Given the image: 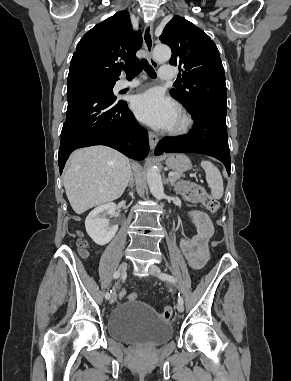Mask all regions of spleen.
<instances>
[{"label":"spleen","instance_id":"3e777b00","mask_svg":"<svg viewBox=\"0 0 291 381\" xmlns=\"http://www.w3.org/2000/svg\"><path fill=\"white\" fill-rule=\"evenodd\" d=\"M201 166L206 173V181L214 198L220 199L224 193L223 179L219 169L210 161H201Z\"/></svg>","mask_w":291,"mask_h":381}]
</instances>
